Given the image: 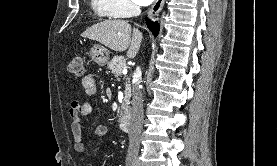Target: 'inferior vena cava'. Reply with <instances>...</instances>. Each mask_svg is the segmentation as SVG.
<instances>
[{
	"label": "inferior vena cava",
	"mask_w": 277,
	"mask_h": 166,
	"mask_svg": "<svg viewBox=\"0 0 277 166\" xmlns=\"http://www.w3.org/2000/svg\"><path fill=\"white\" fill-rule=\"evenodd\" d=\"M133 12L136 15L141 13V10L138 6H134ZM136 82L133 85L132 89V118L129 131V147L127 156L128 157H137L140 147V135L142 132L143 125V100L142 94L139 88L141 81V69L137 67L135 71Z\"/></svg>",
	"instance_id": "inferior-vena-cava-1"
}]
</instances>
